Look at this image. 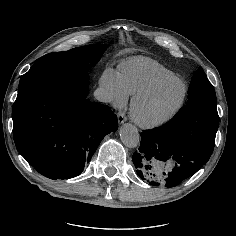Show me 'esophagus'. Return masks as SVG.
I'll list each match as a JSON object with an SVG mask.
<instances>
[{"label":"esophagus","mask_w":236,"mask_h":236,"mask_svg":"<svg viewBox=\"0 0 236 236\" xmlns=\"http://www.w3.org/2000/svg\"><path fill=\"white\" fill-rule=\"evenodd\" d=\"M118 122H119V124H123L126 120H127V118H126V116H125V113L124 112H122V111H120L119 113H118Z\"/></svg>","instance_id":"esophagus-1"}]
</instances>
